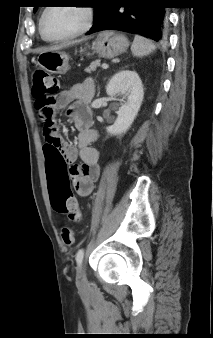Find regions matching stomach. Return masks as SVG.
I'll use <instances>...</instances> for the list:
<instances>
[{"label":"stomach","mask_w":213,"mask_h":338,"mask_svg":"<svg viewBox=\"0 0 213 338\" xmlns=\"http://www.w3.org/2000/svg\"><path fill=\"white\" fill-rule=\"evenodd\" d=\"M128 47V39L114 31L100 32L92 43V50L105 59L121 55ZM68 61V55L59 50L42 52L37 58V64L53 74H65L69 69Z\"/></svg>","instance_id":"obj_1"}]
</instances>
